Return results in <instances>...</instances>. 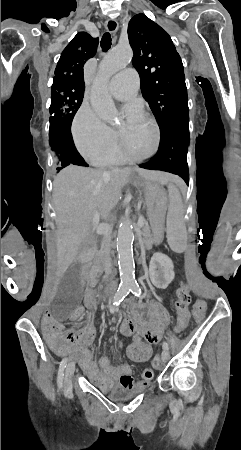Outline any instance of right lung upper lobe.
<instances>
[{"label":"right lung upper lobe","mask_w":241,"mask_h":450,"mask_svg":"<svg viewBox=\"0 0 241 450\" xmlns=\"http://www.w3.org/2000/svg\"><path fill=\"white\" fill-rule=\"evenodd\" d=\"M98 46V38L86 32L78 33L63 50L55 69L53 84H70L85 88L83 65L93 57Z\"/></svg>","instance_id":"obj_1"}]
</instances>
